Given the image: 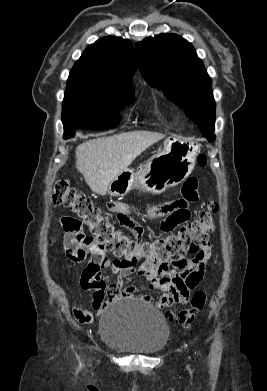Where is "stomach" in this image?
Listing matches in <instances>:
<instances>
[{"label":"stomach","mask_w":267,"mask_h":391,"mask_svg":"<svg viewBox=\"0 0 267 391\" xmlns=\"http://www.w3.org/2000/svg\"><path fill=\"white\" fill-rule=\"evenodd\" d=\"M199 152L200 147L195 142L168 138L163 148L140 166L139 172L131 169L122 171L110 182L107 192L116 197L124 196L134 188L162 193L180 184L192 173Z\"/></svg>","instance_id":"1"}]
</instances>
